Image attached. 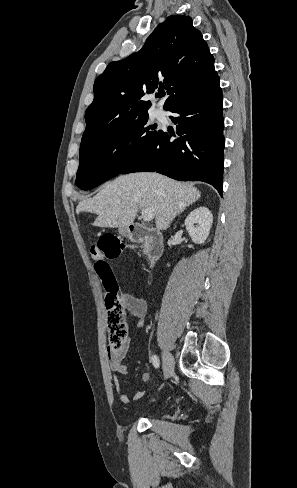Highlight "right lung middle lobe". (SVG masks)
Masks as SVG:
<instances>
[{
  "label": "right lung middle lobe",
  "instance_id": "dd1d6c3e",
  "mask_svg": "<svg viewBox=\"0 0 297 488\" xmlns=\"http://www.w3.org/2000/svg\"><path fill=\"white\" fill-rule=\"evenodd\" d=\"M147 121L144 116L104 135L83 138L75 184L92 189L135 162L160 132L147 127Z\"/></svg>",
  "mask_w": 297,
  "mask_h": 488
}]
</instances>
